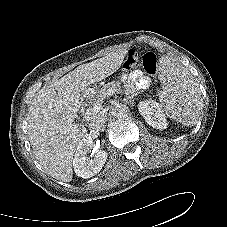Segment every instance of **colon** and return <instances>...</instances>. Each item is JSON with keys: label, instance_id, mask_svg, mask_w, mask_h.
I'll use <instances>...</instances> for the list:
<instances>
[{"label": "colon", "instance_id": "colon-1", "mask_svg": "<svg viewBox=\"0 0 227 227\" xmlns=\"http://www.w3.org/2000/svg\"><path fill=\"white\" fill-rule=\"evenodd\" d=\"M141 65L146 73L149 75H156L158 71L157 57L152 52L141 54L138 50H131L128 52L123 68L131 70Z\"/></svg>", "mask_w": 227, "mask_h": 227}]
</instances>
